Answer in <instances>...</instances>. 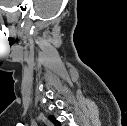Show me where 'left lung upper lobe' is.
Segmentation results:
<instances>
[{
	"instance_id": "1",
	"label": "left lung upper lobe",
	"mask_w": 127,
	"mask_h": 126,
	"mask_svg": "<svg viewBox=\"0 0 127 126\" xmlns=\"http://www.w3.org/2000/svg\"><path fill=\"white\" fill-rule=\"evenodd\" d=\"M49 119L53 122L55 126H60V123L57 120H55L53 116H49Z\"/></svg>"
}]
</instances>
